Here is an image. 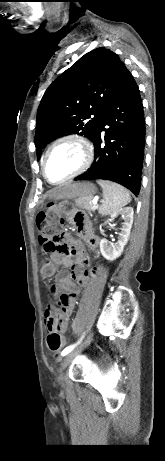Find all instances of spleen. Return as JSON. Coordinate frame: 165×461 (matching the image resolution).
<instances>
[{"instance_id":"3e777b00","label":"spleen","mask_w":165,"mask_h":461,"mask_svg":"<svg viewBox=\"0 0 165 461\" xmlns=\"http://www.w3.org/2000/svg\"><path fill=\"white\" fill-rule=\"evenodd\" d=\"M97 183L103 189V200L99 207V213L109 215L127 205L131 201L129 191L114 182L98 180Z\"/></svg>"}]
</instances>
